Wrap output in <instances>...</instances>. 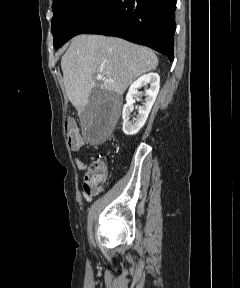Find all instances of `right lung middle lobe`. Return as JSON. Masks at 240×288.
I'll return each instance as SVG.
<instances>
[{
  "mask_svg": "<svg viewBox=\"0 0 240 288\" xmlns=\"http://www.w3.org/2000/svg\"><path fill=\"white\" fill-rule=\"evenodd\" d=\"M51 30L59 48L93 21L112 0H53Z\"/></svg>",
  "mask_w": 240,
  "mask_h": 288,
  "instance_id": "dd1d6c3e",
  "label": "right lung middle lobe"
}]
</instances>
